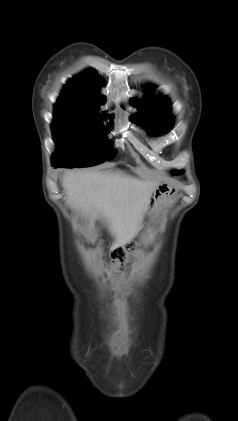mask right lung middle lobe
Segmentation results:
<instances>
[{"mask_svg":"<svg viewBox=\"0 0 238 421\" xmlns=\"http://www.w3.org/2000/svg\"><path fill=\"white\" fill-rule=\"evenodd\" d=\"M99 105L74 100H58L51 125L57 152L52 163L65 167H90L113 157L106 128L95 111ZM108 118V115H103Z\"/></svg>","mask_w":238,"mask_h":421,"instance_id":"dd1d6c3e","label":"right lung middle lobe"}]
</instances>
